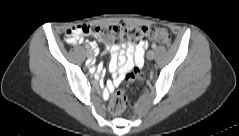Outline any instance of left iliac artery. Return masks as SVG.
<instances>
[{"label":"left iliac artery","mask_w":239,"mask_h":136,"mask_svg":"<svg viewBox=\"0 0 239 136\" xmlns=\"http://www.w3.org/2000/svg\"><path fill=\"white\" fill-rule=\"evenodd\" d=\"M152 48H156V44H153V45H152Z\"/></svg>","instance_id":"left-iliac-artery-1"}]
</instances>
